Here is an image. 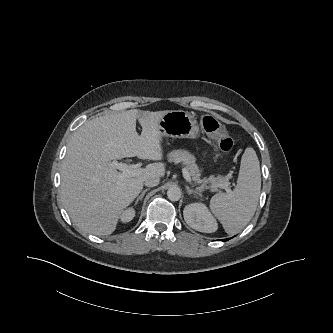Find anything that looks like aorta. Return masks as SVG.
Returning a JSON list of instances; mask_svg holds the SVG:
<instances>
[{
    "label": "aorta",
    "mask_w": 333,
    "mask_h": 333,
    "mask_svg": "<svg viewBox=\"0 0 333 333\" xmlns=\"http://www.w3.org/2000/svg\"><path fill=\"white\" fill-rule=\"evenodd\" d=\"M168 199L171 201H178L181 198V190L177 186H172L167 191Z\"/></svg>",
    "instance_id": "aorta-1"
}]
</instances>
